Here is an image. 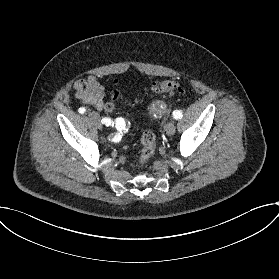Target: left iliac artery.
<instances>
[{
	"label": "left iliac artery",
	"mask_w": 279,
	"mask_h": 279,
	"mask_svg": "<svg viewBox=\"0 0 279 279\" xmlns=\"http://www.w3.org/2000/svg\"><path fill=\"white\" fill-rule=\"evenodd\" d=\"M182 116H183L182 112L179 111V110H176V111L173 112V118L176 119V120L181 119Z\"/></svg>",
	"instance_id": "44dca946"
}]
</instances>
